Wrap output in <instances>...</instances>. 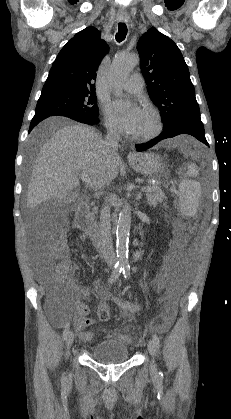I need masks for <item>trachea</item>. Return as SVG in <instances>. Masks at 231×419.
<instances>
[{
	"label": "trachea",
	"instance_id": "obj_1",
	"mask_svg": "<svg viewBox=\"0 0 231 419\" xmlns=\"http://www.w3.org/2000/svg\"><path fill=\"white\" fill-rule=\"evenodd\" d=\"M127 35V26L124 23L118 24V32L116 34L117 42H122Z\"/></svg>",
	"mask_w": 231,
	"mask_h": 419
}]
</instances>
